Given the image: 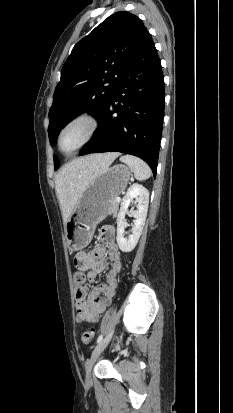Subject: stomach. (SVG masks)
<instances>
[{"instance_id":"obj_1","label":"stomach","mask_w":233,"mask_h":413,"mask_svg":"<svg viewBox=\"0 0 233 413\" xmlns=\"http://www.w3.org/2000/svg\"><path fill=\"white\" fill-rule=\"evenodd\" d=\"M131 171L118 164L103 169L84 189L65 224L70 250L85 248L91 241L96 226L108 215L110 202L127 187Z\"/></svg>"}]
</instances>
